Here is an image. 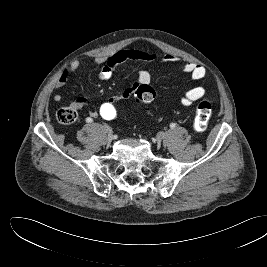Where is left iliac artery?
<instances>
[{"instance_id":"44dca946","label":"left iliac artery","mask_w":267,"mask_h":267,"mask_svg":"<svg viewBox=\"0 0 267 267\" xmlns=\"http://www.w3.org/2000/svg\"><path fill=\"white\" fill-rule=\"evenodd\" d=\"M175 126H176L175 123H171V124H170V127H171V128H175Z\"/></svg>"}]
</instances>
